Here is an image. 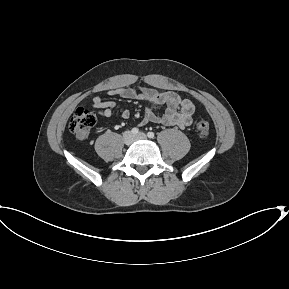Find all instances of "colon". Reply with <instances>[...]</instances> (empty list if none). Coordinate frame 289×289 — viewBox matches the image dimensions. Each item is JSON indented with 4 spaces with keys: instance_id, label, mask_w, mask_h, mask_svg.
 <instances>
[{
    "instance_id": "5ec220e1",
    "label": "colon",
    "mask_w": 289,
    "mask_h": 289,
    "mask_svg": "<svg viewBox=\"0 0 289 289\" xmlns=\"http://www.w3.org/2000/svg\"><path fill=\"white\" fill-rule=\"evenodd\" d=\"M96 123L95 113L86 108H78L76 113L70 119L69 130L79 140H86L93 126ZM196 130L200 138H206L209 135L210 126L208 121L200 119L196 123Z\"/></svg>"
}]
</instances>
